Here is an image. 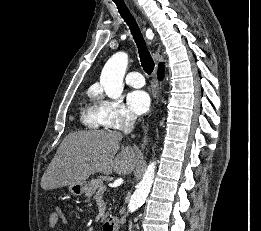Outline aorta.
<instances>
[{
    "instance_id": "1",
    "label": "aorta",
    "mask_w": 261,
    "mask_h": 231,
    "mask_svg": "<svg viewBox=\"0 0 261 231\" xmlns=\"http://www.w3.org/2000/svg\"><path fill=\"white\" fill-rule=\"evenodd\" d=\"M127 64L128 55L124 52H118L107 61L102 70L100 84L111 99H118L123 92V78ZM155 165V162H150L142 180L131 196L128 204L130 213L135 212L145 202L154 181Z\"/></svg>"
}]
</instances>
